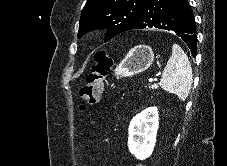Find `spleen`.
Segmentation results:
<instances>
[{"mask_svg":"<svg viewBox=\"0 0 227 166\" xmlns=\"http://www.w3.org/2000/svg\"><path fill=\"white\" fill-rule=\"evenodd\" d=\"M192 81V68L187 55L179 45L173 44L172 55L162 73L161 87L185 101L190 93Z\"/></svg>","mask_w":227,"mask_h":166,"instance_id":"obj_1","label":"spleen"}]
</instances>
